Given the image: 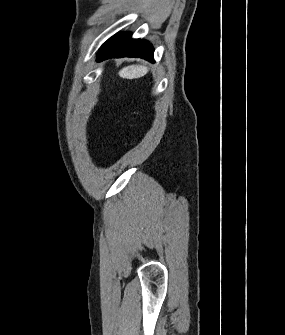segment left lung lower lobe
Listing matches in <instances>:
<instances>
[{
    "label": "left lung lower lobe",
    "mask_w": 285,
    "mask_h": 335,
    "mask_svg": "<svg viewBox=\"0 0 285 335\" xmlns=\"http://www.w3.org/2000/svg\"><path fill=\"white\" fill-rule=\"evenodd\" d=\"M153 47L148 41L131 39L129 33H117L108 39L99 50L97 61L112 57H140L153 60Z\"/></svg>",
    "instance_id": "0a47b994"
}]
</instances>
